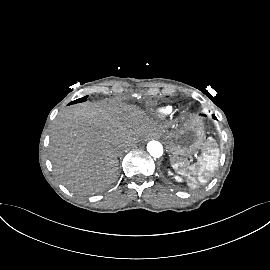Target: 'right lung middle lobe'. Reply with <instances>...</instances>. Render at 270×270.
Instances as JSON below:
<instances>
[{
	"mask_svg": "<svg viewBox=\"0 0 270 270\" xmlns=\"http://www.w3.org/2000/svg\"><path fill=\"white\" fill-rule=\"evenodd\" d=\"M86 98H87V96H85V97H83V98H80V99H77V100H75V101L71 102L70 104H74V103L83 102V101H85V100H86Z\"/></svg>",
	"mask_w": 270,
	"mask_h": 270,
	"instance_id": "1",
	"label": "right lung middle lobe"
}]
</instances>
